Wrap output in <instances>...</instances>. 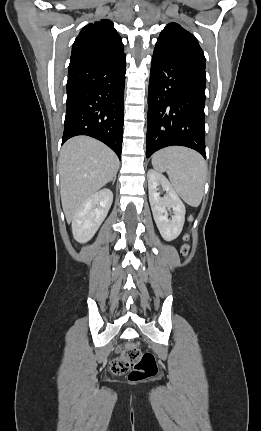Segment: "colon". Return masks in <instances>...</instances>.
<instances>
[{
	"mask_svg": "<svg viewBox=\"0 0 261 431\" xmlns=\"http://www.w3.org/2000/svg\"><path fill=\"white\" fill-rule=\"evenodd\" d=\"M184 257H189L190 246L184 244L181 247ZM112 373L121 375L128 373L132 382H140L154 377L158 368L155 357L150 352H142L136 344L128 343L119 348L116 355L110 361Z\"/></svg>",
	"mask_w": 261,
	"mask_h": 431,
	"instance_id": "1",
	"label": "colon"
}]
</instances>
